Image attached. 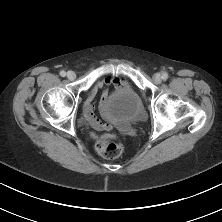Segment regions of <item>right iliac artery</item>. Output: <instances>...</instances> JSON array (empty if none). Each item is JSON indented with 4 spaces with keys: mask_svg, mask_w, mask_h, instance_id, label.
Here are the masks:
<instances>
[{
    "mask_svg": "<svg viewBox=\"0 0 222 222\" xmlns=\"http://www.w3.org/2000/svg\"><path fill=\"white\" fill-rule=\"evenodd\" d=\"M60 75L62 76V77H64L65 75H66V72L65 71H60Z\"/></svg>",
    "mask_w": 222,
    "mask_h": 222,
    "instance_id": "1",
    "label": "right iliac artery"
}]
</instances>
